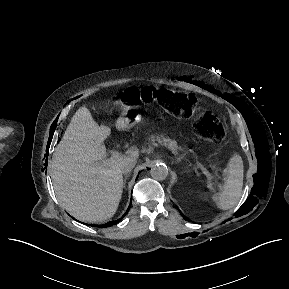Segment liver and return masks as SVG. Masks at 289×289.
Listing matches in <instances>:
<instances>
[{"label": "liver", "instance_id": "liver-1", "mask_svg": "<svg viewBox=\"0 0 289 289\" xmlns=\"http://www.w3.org/2000/svg\"><path fill=\"white\" fill-rule=\"evenodd\" d=\"M109 132L93 120L86 107H81L52 157L51 178L58 201L70 215L83 222L98 223L114 216L123 191L119 165L139 155L132 148L120 159L104 162L103 142Z\"/></svg>", "mask_w": 289, "mask_h": 289}]
</instances>
